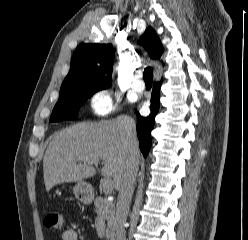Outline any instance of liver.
I'll list each match as a JSON object with an SVG mask.
<instances>
[{"label": "liver", "instance_id": "liver-1", "mask_svg": "<svg viewBox=\"0 0 248 240\" xmlns=\"http://www.w3.org/2000/svg\"><path fill=\"white\" fill-rule=\"evenodd\" d=\"M134 122L122 116L99 123H79L57 132L50 141L43 159L46 191L65 182H79L93 177L96 169L86 159L102 160L101 173L113 179L117 189L129 155L127 128ZM135 157L139 162L138 143Z\"/></svg>", "mask_w": 248, "mask_h": 240}]
</instances>
